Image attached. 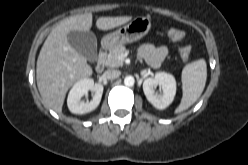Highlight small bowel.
<instances>
[{
    "label": "small bowel",
    "mask_w": 248,
    "mask_h": 165,
    "mask_svg": "<svg viewBox=\"0 0 248 165\" xmlns=\"http://www.w3.org/2000/svg\"><path fill=\"white\" fill-rule=\"evenodd\" d=\"M139 54L148 64L156 67L161 64L168 55V48L166 46L156 47L153 44L146 43L140 47Z\"/></svg>",
    "instance_id": "obj_1"
}]
</instances>
